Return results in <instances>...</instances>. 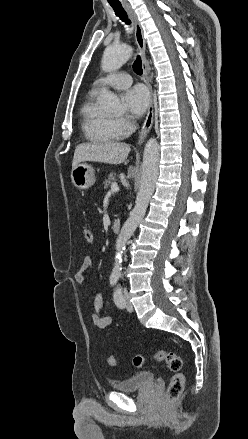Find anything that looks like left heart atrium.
<instances>
[{
    "label": "left heart atrium",
    "instance_id": "left-heart-atrium-1",
    "mask_svg": "<svg viewBox=\"0 0 248 439\" xmlns=\"http://www.w3.org/2000/svg\"><path fill=\"white\" fill-rule=\"evenodd\" d=\"M128 113L135 118L144 114L149 104V94L143 86H134L123 97Z\"/></svg>",
    "mask_w": 248,
    "mask_h": 439
}]
</instances>
